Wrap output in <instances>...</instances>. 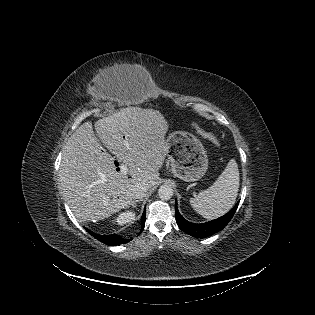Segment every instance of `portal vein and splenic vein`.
<instances>
[{"instance_id":"portal-vein-and-splenic-vein-1","label":"portal vein and splenic vein","mask_w":315,"mask_h":315,"mask_svg":"<svg viewBox=\"0 0 315 315\" xmlns=\"http://www.w3.org/2000/svg\"><path fill=\"white\" fill-rule=\"evenodd\" d=\"M120 172H121V174H123V175H127L128 174V167L126 166V165H121V167H120Z\"/></svg>"}]
</instances>
